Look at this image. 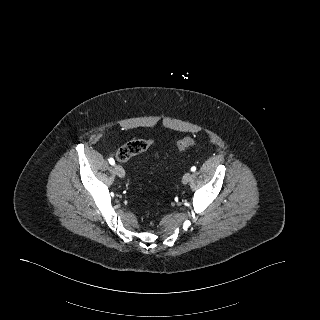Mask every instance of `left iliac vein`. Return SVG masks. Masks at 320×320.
Instances as JSON below:
<instances>
[{"label": "left iliac vein", "mask_w": 320, "mask_h": 320, "mask_svg": "<svg viewBox=\"0 0 320 320\" xmlns=\"http://www.w3.org/2000/svg\"><path fill=\"white\" fill-rule=\"evenodd\" d=\"M192 174L190 172H187L184 174L182 178L183 184H187L191 180Z\"/></svg>", "instance_id": "1"}]
</instances>
